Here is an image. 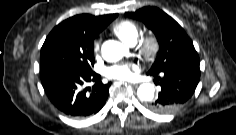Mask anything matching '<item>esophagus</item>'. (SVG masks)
Returning <instances> with one entry per match:
<instances>
[{
    "instance_id": "obj_1",
    "label": "esophagus",
    "mask_w": 236,
    "mask_h": 135,
    "mask_svg": "<svg viewBox=\"0 0 236 135\" xmlns=\"http://www.w3.org/2000/svg\"><path fill=\"white\" fill-rule=\"evenodd\" d=\"M129 84L133 87H138L139 83L129 82Z\"/></svg>"
}]
</instances>
